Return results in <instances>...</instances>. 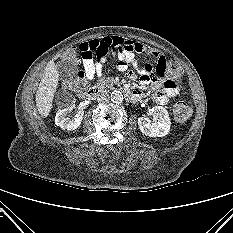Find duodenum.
Masks as SVG:
<instances>
[{"label":"duodenum","mask_w":233,"mask_h":233,"mask_svg":"<svg viewBox=\"0 0 233 233\" xmlns=\"http://www.w3.org/2000/svg\"><path fill=\"white\" fill-rule=\"evenodd\" d=\"M121 90L123 91V93L126 95L127 98L132 100L136 99V93L134 91L125 88H122ZM101 92H102L101 88L93 87L86 92V97L89 99H95L101 94Z\"/></svg>","instance_id":"1"}]
</instances>
